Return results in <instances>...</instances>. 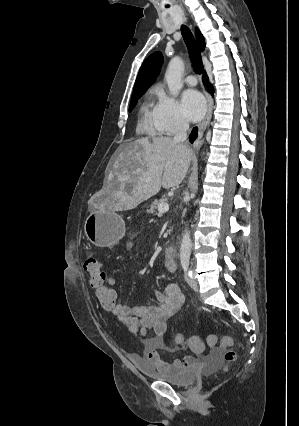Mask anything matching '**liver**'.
Returning <instances> with one entry per match:
<instances>
[{"label":"liver","instance_id":"liver-1","mask_svg":"<svg viewBox=\"0 0 299 426\" xmlns=\"http://www.w3.org/2000/svg\"><path fill=\"white\" fill-rule=\"evenodd\" d=\"M191 150L170 137L140 138L116 152L109 184L101 194L115 210H130L156 195L161 187L181 184L188 171Z\"/></svg>","mask_w":299,"mask_h":426}]
</instances>
